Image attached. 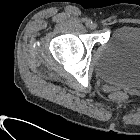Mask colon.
<instances>
[{
	"label": "colon",
	"mask_w": 140,
	"mask_h": 140,
	"mask_svg": "<svg viewBox=\"0 0 140 140\" xmlns=\"http://www.w3.org/2000/svg\"><path fill=\"white\" fill-rule=\"evenodd\" d=\"M111 98L116 102H123L128 98V95L125 91L118 90L111 94Z\"/></svg>",
	"instance_id": "5ec220e1"
}]
</instances>
